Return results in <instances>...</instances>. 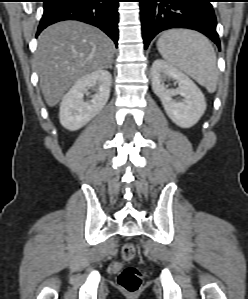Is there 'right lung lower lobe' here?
<instances>
[{"mask_svg": "<svg viewBox=\"0 0 248 299\" xmlns=\"http://www.w3.org/2000/svg\"><path fill=\"white\" fill-rule=\"evenodd\" d=\"M120 0H44V13L37 35L47 26L78 20L100 28L118 45V6Z\"/></svg>", "mask_w": 248, "mask_h": 299, "instance_id": "1", "label": "right lung lower lobe"}]
</instances>
